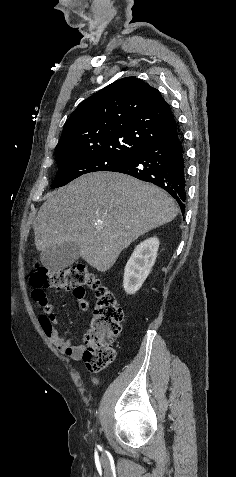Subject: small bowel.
<instances>
[{
  "label": "small bowel",
  "instance_id": "c3829d8e",
  "mask_svg": "<svg viewBox=\"0 0 236 477\" xmlns=\"http://www.w3.org/2000/svg\"><path fill=\"white\" fill-rule=\"evenodd\" d=\"M75 299L80 310H86L88 308L89 302L84 294H75ZM35 300L40 304L42 310L38 321L43 333L65 356L71 360H79L84 348L82 345L73 344L69 339L60 335L57 329L58 320L54 306L50 303L46 294L42 292L40 296L35 297Z\"/></svg>",
  "mask_w": 236,
  "mask_h": 477
}]
</instances>
